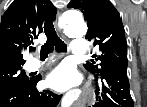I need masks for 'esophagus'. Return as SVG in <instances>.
<instances>
[{
  "mask_svg": "<svg viewBox=\"0 0 147 107\" xmlns=\"http://www.w3.org/2000/svg\"><path fill=\"white\" fill-rule=\"evenodd\" d=\"M59 19H60V13L58 12L57 16H56V20H55V25H56V28H57L58 32L62 35L61 28L58 25ZM88 95H89L88 102L89 103H94V96H93L92 90H88Z\"/></svg>",
  "mask_w": 147,
  "mask_h": 107,
  "instance_id": "esophagus-1",
  "label": "esophagus"
}]
</instances>
